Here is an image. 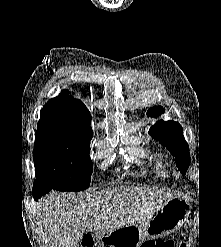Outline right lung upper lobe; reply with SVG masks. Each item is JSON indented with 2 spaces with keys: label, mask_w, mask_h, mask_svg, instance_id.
<instances>
[{
  "label": "right lung upper lobe",
  "mask_w": 221,
  "mask_h": 247,
  "mask_svg": "<svg viewBox=\"0 0 221 247\" xmlns=\"http://www.w3.org/2000/svg\"><path fill=\"white\" fill-rule=\"evenodd\" d=\"M91 114L87 107L69 93L49 100L40 111L37 130H59L92 138Z\"/></svg>",
  "instance_id": "obj_1"
}]
</instances>
